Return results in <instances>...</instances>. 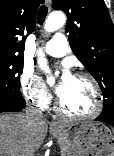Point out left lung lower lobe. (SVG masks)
Masks as SVG:
<instances>
[{"label":"left lung lower lobe","mask_w":114,"mask_h":156,"mask_svg":"<svg viewBox=\"0 0 114 156\" xmlns=\"http://www.w3.org/2000/svg\"><path fill=\"white\" fill-rule=\"evenodd\" d=\"M96 120L107 123L114 127V115L101 114L98 118H96Z\"/></svg>","instance_id":"left-lung-lower-lobe-1"}]
</instances>
